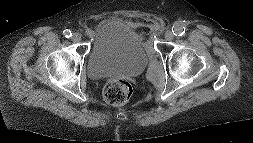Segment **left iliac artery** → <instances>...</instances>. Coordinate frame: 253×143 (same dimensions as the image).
Segmentation results:
<instances>
[{
	"label": "left iliac artery",
	"instance_id": "obj_1",
	"mask_svg": "<svg viewBox=\"0 0 253 143\" xmlns=\"http://www.w3.org/2000/svg\"><path fill=\"white\" fill-rule=\"evenodd\" d=\"M172 32L175 36H183L185 33V27L173 26Z\"/></svg>",
	"mask_w": 253,
	"mask_h": 143
}]
</instances>
